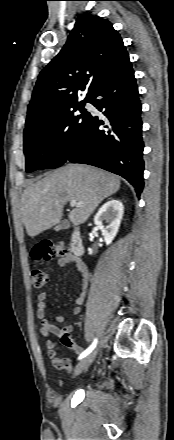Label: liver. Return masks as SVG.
Returning <instances> with one entry per match:
<instances>
[{"label": "liver", "mask_w": 174, "mask_h": 440, "mask_svg": "<svg viewBox=\"0 0 174 440\" xmlns=\"http://www.w3.org/2000/svg\"><path fill=\"white\" fill-rule=\"evenodd\" d=\"M119 188V177L107 171L78 164L59 168L24 190L21 217L26 232L35 237L58 224L64 205L71 200L82 203L68 215L73 225H80Z\"/></svg>", "instance_id": "6515ba94"}]
</instances>
